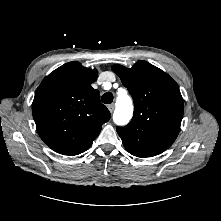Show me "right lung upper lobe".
I'll return each instance as SVG.
<instances>
[{
    "label": "right lung upper lobe",
    "mask_w": 221,
    "mask_h": 221,
    "mask_svg": "<svg viewBox=\"0 0 221 221\" xmlns=\"http://www.w3.org/2000/svg\"><path fill=\"white\" fill-rule=\"evenodd\" d=\"M98 72L69 62L49 74L35 92L32 113L37 132L57 153L78 155L86 151L110 119L92 88Z\"/></svg>",
    "instance_id": "1"
}]
</instances>
